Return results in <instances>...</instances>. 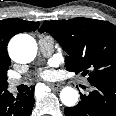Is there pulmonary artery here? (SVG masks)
<instances>
[{
	"mask_svg": "<svg viewBox=\"0 0 116 116\" xmlns=\"http://www.w3.org/2000/svg\"><path fill=\"white\" fill-rule=\"evenodd\" d=\"M38 45H39L40 52L44 56H50L54 50V40L50 36H39ZM21 83H22V80H19V79L9 80L10 91L14 92Z\"/></svg>",
	"mask_w": 116,
	"mask_h": 116,
	"instance_id": "obj_1",
	"label": "pulmonary artery"
}]
</instances>
